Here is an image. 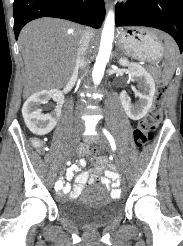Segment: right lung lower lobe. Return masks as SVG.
I'll list each match as a JSON object with an SVG mask.
<instances>
[{"label":"right lung lower lobe","mask_w":183,"mask_h":246,"mask_svg":"<svg viewBox=\"0 0 183 246\" xmlns=\"http://www.w3.org/2000/svg\"><path fill=\"white\" fill-rule=\"evenodd\" d=\"M13 10L16 40L22 27L37 18H62L100 28L105 17L103 0H14Z\"/></svg>","instance_id":"right-lung-lower-lobe-1"}]
</instances>
